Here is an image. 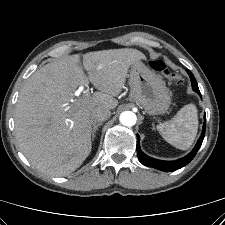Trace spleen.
<instances>
[{
  "label": "spleen",
  "instance_id": "obj_1",
  "mask_svg": "<svg viewBox=\"0 0 225 225\" xmlns=\"http://www.w3.org/2000/svg\"><path fill=\"white\" fill-rule=\"evenodd\" d=\"M197 129V109L192 103L183 106L171 120L157 125V130L164 140L181 150L192 145Z\"/></svg>",
  "mask_w": 225,
  "mask_h": 225
}]
</instances>
